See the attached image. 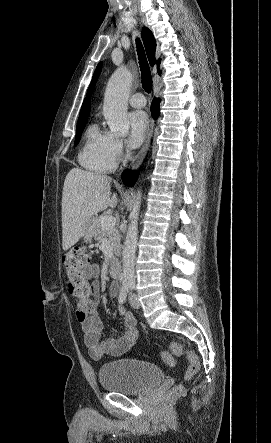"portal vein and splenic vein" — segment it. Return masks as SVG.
<instances>
[{
	"mask_svg": "<svg viewBox=\"0 0 271 443\" xmlns=\"http://www.w3.org/2000/svg\"><path fill=\"white\" fill-rule=\"evenodd\" d=\"M116 223V218H113V216H104V218H101V225L102 227H105V229H109V227H114Z\"/></svg>",
	"mask_w": 271,
	"mask_h": 443,
	"instance_id": "obj_1",
	"label": "portal vein and splenic vein"
}]
</instances>
